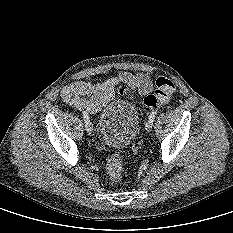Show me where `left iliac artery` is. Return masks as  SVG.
Returning a JSON list of instances; mask_svg holds the SVG:
<instances>
[{
  "label": "left iliac artery",
  "mask_w": 233,
  "mask_h": 233,
  "mask_svg": "<svg viewBox=\"0 0 233 233\" xmlns=\"http://www.w3.org/2000/svg\"><path fill=\"white\" fill-rule=\"evenodd\" d=\"M157 114V111H153L149 116V121L153 123L155 119V115Z\"/></svg>",
  "instance_id": "1"
}]
</instances>
